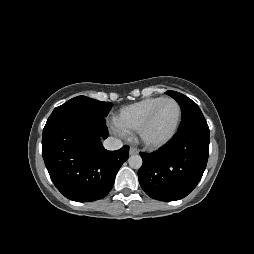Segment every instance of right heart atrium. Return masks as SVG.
Returning a JSON list of instances; mask_svg holds the SVG:
<instances>
[{
  "mask_svg": "<svg viewBox=\"0 0 254 254\" xmlns=\"http://www.w3.org/2000/svg\"><path fill=\"white\" fill-rule=\"evenodd\" d=\"M112 130L120 136H126L128 131L124 130L117 122L112 125Z\"/></svg>",
  "mask_w": 254,
  "mask_h": 254,
  "instance_id": "1",
  "label": "right heart atrium"
}]
</instances>
